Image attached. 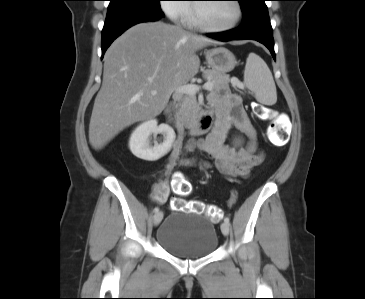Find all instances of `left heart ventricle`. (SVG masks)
<instances>
[{
	"instance_id": "left-heart-ventricle-1",
	"label": "left heart ventricle",
	"mask_w": 365,
	"mask_h": 299,
	"mask_svg": "<svg viewBox=\"0 0 365 299\" xmlns=\"http://www.w3.org/2000/svg\"><path fill=\"white\" fill-rule=\"evenodd\" d=\"M226 3H199V13L204 23L213 27L230 25L236 17V7L232 1Z\"/></svg>"
}]
</instances>
